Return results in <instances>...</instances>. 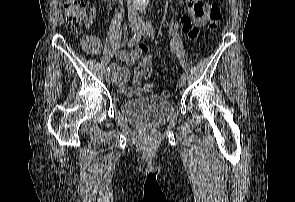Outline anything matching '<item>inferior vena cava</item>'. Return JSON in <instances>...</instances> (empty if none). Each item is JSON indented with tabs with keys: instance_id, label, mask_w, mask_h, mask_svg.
I'll use <instances>...</instances> for the list:
<instances>
[{
	"instance_id": "inferior-vena-cava-1",
	"label": "inferior vena cava",
	"mask_w": 295,
	"mask_h": 202,
	"mask_svg": "<svg viewBox=\"0 0 295 202\" xmlns=\"http://www.w3.org/2000/svg\"><path fill=\"white\" fill-rule=\"evenodd\" d=\"M128 18L130 20H137L140 18L138 11L130 5V0H128Z\"/></svg>"
}]
</instances>
